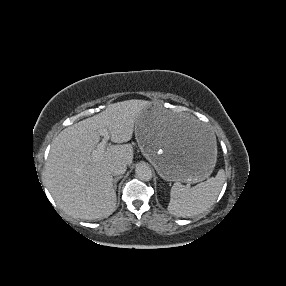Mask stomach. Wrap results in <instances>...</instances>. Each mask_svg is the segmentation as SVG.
<instances>
[{
	"mask_svg": "<svg viewBox=\"0 0 286 286\" xmlns=\"http://www.w3.org/2000/svg\"><path fill=\"white\" fill-rule=\"evenodd\" d=\"M135 136L142 154L166 181L197 183L213 172L217 136L207 122L153 102L139 112Z\"/></svg>",
	"mask_w": 286,
	"mask_h": 286,
	"instance_id": "stomach-1",
	"label": "stomach"
}]
</instances>
